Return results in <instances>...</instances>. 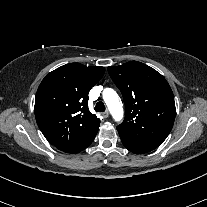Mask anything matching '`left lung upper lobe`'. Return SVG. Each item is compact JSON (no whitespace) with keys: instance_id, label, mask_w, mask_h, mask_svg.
I'll list each match as a JSON object with an SVG mask.
<instances>
[{"instance_id":"1","label":"left lung upper lobe","mask_w":207,"mask_h":207,"mask_svg":"<svg viewBox=\"0 0 207 207\" xmlns=\"http://www.w3.org/2000/svg\"><path fill=\"white\" fill-rule=\"evenodd\" d=\"M125 103V119L119 133L161 144L175 119V102L166 79L153 68L138 61L108 67Z\"/></svg>"}]
</instances>
